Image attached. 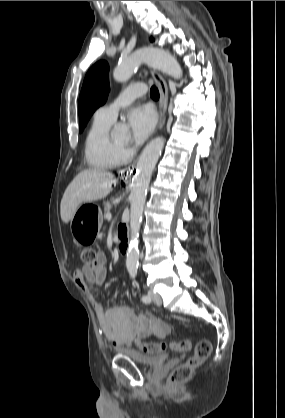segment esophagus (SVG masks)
I'll return each instance as SVG.
<instances>
[{
  "instance_id": "esophagus-1",
  "label": "esophagus",
  "mask_w": 285,
  "mask_h": 418,
  "mask_svg": "<svg viewBox=\"0 0 285 418\" xmlns=\"http://www.w3.org/2000/svg\"><path fill=\"white\" fill-rule=\"evenodd\" d=\"M151 75L158 86V90L160 93V101H159V124L157 129L160 130L163 128L165 121H166V111H167V104L169 98V91L168 86L165 79L162 77L159 72L156 70H151ZM135 164L133 163L131 166L127 168V170H131L135 168Z\"/></svg>"
}]
</instances>
